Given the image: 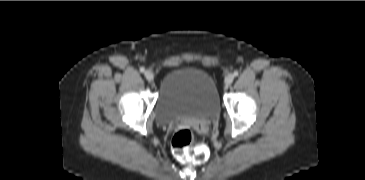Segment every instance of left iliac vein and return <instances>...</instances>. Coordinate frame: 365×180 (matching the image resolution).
Masks as SVG:
<instances>
[{"label": "left iliac vein", "instance_id": "1", "mask_svg": "<svg viewBox=\"0 0 365 180\" xmlns=\"http://www.w3.org/2000/svg\"><path fill=\"white\" fill-rule=\"evenodd\" d=\"M234 80V75L233 74H228L226 77H225V84L227 86L231 85L232 82Z\"/></svg>", "mask_w": 365, "mask_h": 180}]
</instances>
